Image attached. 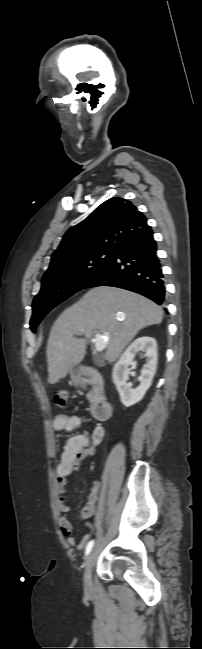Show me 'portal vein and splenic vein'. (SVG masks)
<instances>
[{"mask_svg":"<svg viewBox=\"0 0 202 649\" xmlns=\"http://www.w3.org/2000/svg\"><path fill=\"white\" fill-rule=\"evenodd\" d=\"M107 336L104 334L96 333L93 342L95 343V348L98 351H101L105 348L107 343Z\"/></svg>","mask_w":202,"mask_h":649,"instance_id":"1","label":"portal vein and splenic vein"}]
</instances>
